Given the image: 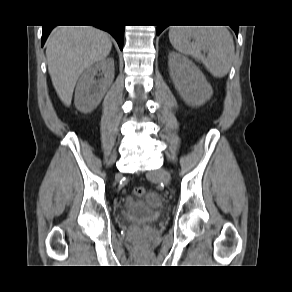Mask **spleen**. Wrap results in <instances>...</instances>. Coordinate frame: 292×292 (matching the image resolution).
<instances>
[{"label": "spleen", "instance_id": "1", "mask_svg": "<svg viewBox=\"0 0 292 292\" xmlns=\"http://www.w3.org/2000/svg\"><path fill=\"white\" fill-rule=\"evenodd\" d=\"M169 40L178 52L201 61L214 77L222 78L230 71L235 47L226 28L172 26Z\"/></svg>", "mask_w": 292, "mask_h": 292}]
</instances>
